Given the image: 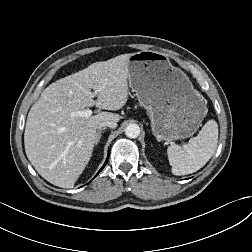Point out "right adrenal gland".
<instances>
[{"label":"right adrenal gland","instance_id":"1","mask_svg":"<svg viewBox=\"0 0 252 252\" xmlns=\"http://www.w3.org/2000/svg\"><path fill=\"white\" fill-rule=\"evenodd\" d=\"M106 129V127H104V128H101V129H99L98 130V132L96 133V145L99 143V141H100V139H101V134H102V132L104 131Z\"/></svg>","mask_w":252,"mask_h":252}]
</instances>
